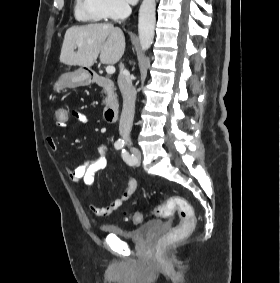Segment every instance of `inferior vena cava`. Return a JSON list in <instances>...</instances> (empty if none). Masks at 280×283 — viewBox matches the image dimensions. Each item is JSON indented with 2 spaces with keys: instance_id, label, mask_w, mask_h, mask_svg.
<instances>
[{
  "instance_id": "obj_1",
  "label": "inferior vena cava",
  "mask_w": 280,
  "mask_h": 283,
  "mask_svg": "<svg viewBox=\"0 0 280 283\" xmlns=\"http://www.w3.org/2000/svg\"><path fill=\"white\" fill-rule=\"evenodd\" d=\"M131 12V7L127 3H122L119 9L120 19L123 20L127 18ZM118 86L123 96V109L120 117L119 133L125 142L130 144V132L135 113L136 90L132 85L129 71L125 69L122 63L120 64V72L118 75Z\"/></svg>"
}]
</instances>
